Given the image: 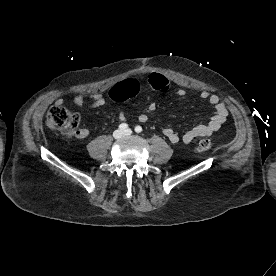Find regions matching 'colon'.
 Wrapping results in <instances>:
<instances>
[{
    "label": "colon",
    "instance_id": "5ec220e1",
    "mask_svg": "<svg viewBox=\"0 0 276 276\" xmlns=\"http://www.w3.org/2000/svg\"><path fill=\"white\" fill-rule=\"evenodd\" d=\"M168 84V83H167ZM113 97H123L122 89L115 86L111 92ZM80 117L77 113L72 112L62 105L52 106L46 117V123L49 129L61 132L66 138H72L76 135ZM212 142L208 138L200 139L194 146L196 152L202 153L209 151Z\"/></svg>",
    "mask_w": 276,
    "mask_h": 276
}]
</instances>
